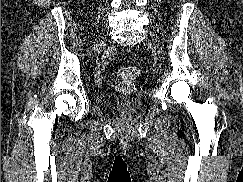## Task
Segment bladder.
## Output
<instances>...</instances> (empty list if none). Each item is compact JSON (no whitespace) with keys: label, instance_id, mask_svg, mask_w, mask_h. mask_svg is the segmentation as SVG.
I'll list each match as a JSON object with an SVG mask.
<instances>
[{"label":"bladder","instance_id":"bladder-1","mask_svg":"<svg viewBox=\"0 0 243 182\" xmlns=\"http://www.w3.org/2000/svg\"><path fill=\"white\" fill-rule=\"evenodd\" d=\"M96 101L101 106L118 110L126 114L135 113L142 107V100L139 97L107 92L97 93Z\"/></svg>","mask_w":243,"mask_h":182}]
</instances>
